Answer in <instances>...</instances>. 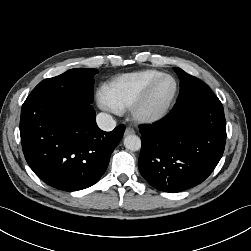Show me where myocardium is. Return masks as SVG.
<instances>
[{"mask_svg":"<svg viewBox=\"0 0 251 251\" xmlns=\"http://www.w3.org/2000/svg\"><path fill=\"white\" fill-rule=\"evenodd\" d=\"M165 79H171L174 84L173 91L167 101L157 109H148V101L154 91V89L158 86L160 82ZM178 93V82L177 80L170 74H163L158 78L154 79L148 86L143 90L140 96L136 99V101L130 107L131 115L133 119L141 124H153L160 120H162L171 109L176 96Z\"/></svg>","mask_w":251,"mask_h":251,"instance_id":"1","label":"myocardium"}]
</instances>
